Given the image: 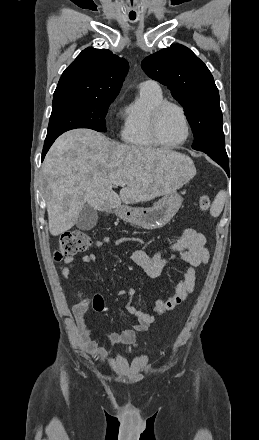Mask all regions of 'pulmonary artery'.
Segmentation results:
<instances>
[{
	"instance_id": "e3ab8cb5",
	"label": "pulmonary artery",
	"mask_w": 259,
	"mask_h": 440,
	"mask_svg": "<svg viewBox=\"0 0 259 440\" xmlns=\"http://www.w3.org/2000/svg\"><path fill=\"white\" fill-rule=\"evenodd\" d=\"M140 90L150 91V92H161L159 84L154 80H146L140 83Z\"/></svg>"
}]
</instances>
